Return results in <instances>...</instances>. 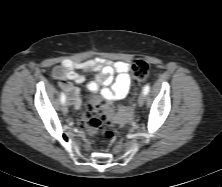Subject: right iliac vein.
<instances>
[{
  "label": "right iliac vein",
  "mask_w": 222,
  "mask_h": 187,
  "mask_svg": "<svg viewBox=\"0 0 222 187\" xmlns=\"http://www.w3.org/2000/svg\"><path fill=\"white\" fill-rule=\"evenodd\" d=\"M61 109H62V112H63L64 114H66V113L68 112L67 104H63L62 107H61Z\"/></svg>",
  "instance_id": "obj_1"
}]
</instances>
